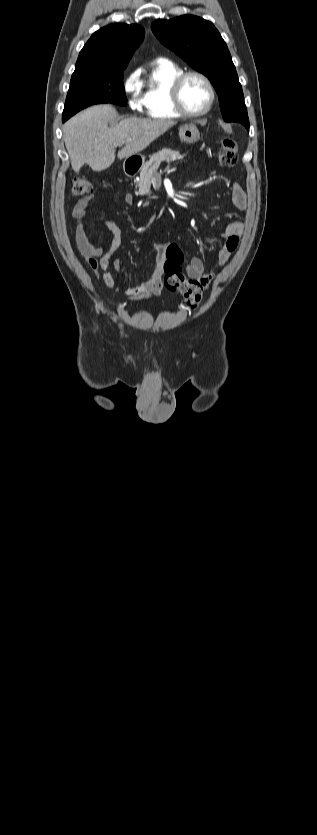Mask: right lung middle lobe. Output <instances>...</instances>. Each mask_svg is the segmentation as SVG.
<instances>
[{
	"instance_id": "dd1d6c3e",
	"label": "right lung middle lobe",
	"mask_w": 317,
	"mask_h": 835,
	"mask_svg": "<svg viewBox=\"0 0 317 835\" xmlns=\"http://www.w3.org/2000/svg\"><path fill=\"white\" fill-rule=\"evenodd\" d=\"M99 103L126 105L123 70H75L71 78L62 119L65 121L78 111Z\"/></svg>"
}]
</instances>
